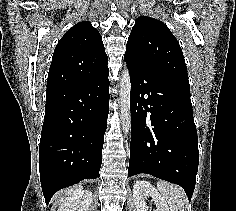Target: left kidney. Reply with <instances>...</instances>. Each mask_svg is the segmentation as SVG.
Segmentation results:
<instances>
[{"label":"left kidney","instance_id":"obj_1","mask_svg":"<svg viewBox=\"0 0 236 211\" xmlns=\"http://www.w3.org/2000/svg\"><path fill=\"white\" fill-rule=\"evenodd\" d=\"M151 197L156 205L154 211H169L166 200L157 192V190L144 180L137 181L133 185V199L137 211H147L148 206L145 203V198Z\"/></svg>","mask_w":236,"mask_h":211}]
</instances>
